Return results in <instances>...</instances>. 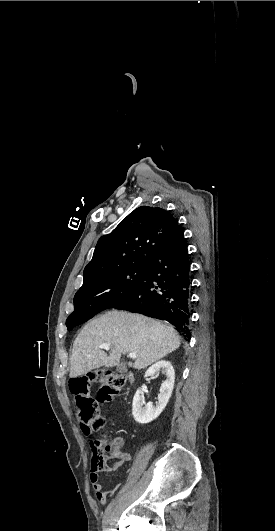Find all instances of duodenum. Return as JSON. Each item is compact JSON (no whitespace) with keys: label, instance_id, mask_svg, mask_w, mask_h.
<instances>
[{"label":"duodenum","instance_id":"duodenum-1","mask_svg":"<svg viewBox=\"0 0 275 531\" xmlns=\"http://www.w3.org/2000/svg\"><path fill=\"white\" fill-rule=\"evenodd\" d=\"M127 379H128V382H129L130 384L134 383V380H135V379H134V375H133V374H129L128 377H127Z\"/></svg>","mask_w":275,"mask_h":531}]
</instances>
